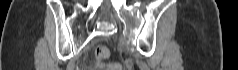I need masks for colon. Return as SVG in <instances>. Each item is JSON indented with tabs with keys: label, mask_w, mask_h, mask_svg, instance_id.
I'll list each match as a JSON object with an SVG mask.
<instances>
[{
	"label": "colon",
	"mask_w": 238,
	"mask_h": 70,
	"mask_svg": "<svg viewBox=\"0 0 238 70\" xmlns=\"http://www.w3.org/2000/svg\"><path fill=\"white\" fill-rule=\"evenodd\" d=\"M97 66L104 67L103 61L109 57V49L106 46H97L94 50ZM120 63H106V67L103 70H118Z\"/></svg>",
	"instance_id": "obj_1"
}]
</instances>
